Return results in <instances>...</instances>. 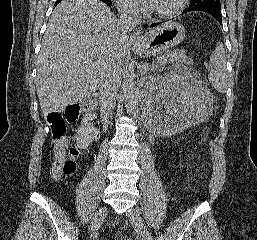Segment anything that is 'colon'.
I'll use <instances>...</instances> for the list:
<instances>
[{"instance_id": "obj_1", "label": "colon", "mask_w": 257, "mask_h": 240, "mask_svg": "<svg viewBox=\"0 0 257 240\" xmlns=\"http://www.w3.org/2000/svg\"><path fill=\"white\" fill-rule=\"evenodd\" d=\"M79 114V108L76 105L69 106L64 113L53 112L47 117L51 134L54 139L64 136L68 123L75 121ZM78 151L71 148L68 156H56L53 163V173L55 176L72 174L76 170L75 157Z\"/></svg>"}]
</instances>
